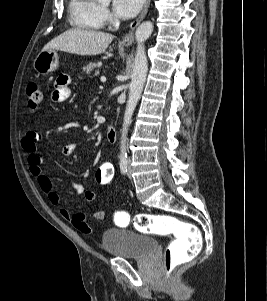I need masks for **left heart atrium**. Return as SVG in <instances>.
Returning a JSON list of instances; mask_svg holds the SVG:
<instances>
[{
  "label": "left heart atrium",
  "instance_id": "obj_1",
  "mask_svg": "<svg viewBox=\"0 0 267 301\" xmlns=\"http://www.w3.org/2000/svg\"><path fill=\"white\" fill-rule=\"evenodd\" d=\"M144 0H112L114 14L120 18H131L135 16Z\"/></svg>",
  "mask_w": 267,
  "mask_h": 301
}]
</instances>
